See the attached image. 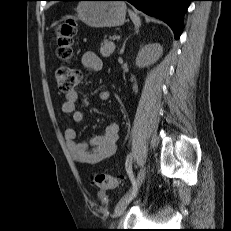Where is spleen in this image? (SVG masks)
Returning <instances> with one entry per match:
<instances>
[{
	"mask_svg": "<svg viewBox=\"0 0 231 231\" xmlns=\"http://www.w3.org/2000/svg\"><path fill=\"white\" fill-rule=\"evenodd\" d=\"M129 15L131 20L133 21L134 25H135V29L138 30V28L141 26V20L140 17L137 16V14H135L133 11L129 10Z\"/></svg>",
	"mask_w": 231,
	"mask_h": 231,
	"instance_id": "spleen-1",
	"label": "spleen"
}]
</instances>
